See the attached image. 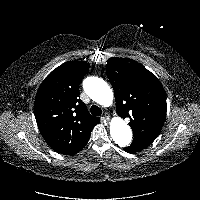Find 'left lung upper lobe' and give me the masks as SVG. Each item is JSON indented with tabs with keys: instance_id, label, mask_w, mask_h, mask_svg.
Returning <instances> with one entry per match:
<instances>
[{
	"instance_id": "left-lung-upper-lobe-1",
	"label": "left lung upper lobe",
	"mask_w": 200,
	"mask_h": 200,
	"mask_svg": "<svg viewBox=\"0 0 200 200\" xmlns=\"http://www.w3.org/2000/svg\"><path fill=\"white\" fill-rule=\"evenodd\" d=\"M106 73L114 90L117 113L130 118L134 134L130 146L142 150L155 140L165 120L163 86L149 70L129 58H110Z\"/></svg>"
}]
</instances>
